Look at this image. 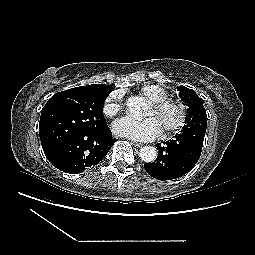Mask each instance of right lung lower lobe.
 <instances>
[{
    "instance_id": "right-lung-lower-lobe-1",
    "label": "right lung lower lobe",
    "mask_w": 255,
    "mask_h": 255,
    "mask_svg": "<svg viewBox=\"0 0 255 255\" xmlns=\"http://www.w3.org/2000/svg\"><path fill=\"white\" fill-rule=\"evenodd\" d=\"M117 141L105 125L95 132L77 134L65 141L48 160L59 170L76 174L97 165Z\"/></svg>"
}]
</instances>
